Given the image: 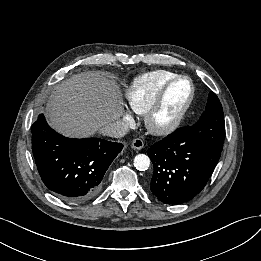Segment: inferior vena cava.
Masks as SVG:
<instances>
[{
	"label": "inferior vena cava",
	"instance_id": "inferior-vena-cava-1",
	"mask_svg": "<svg viewBox=\"0 0 261 261\" xmlns=\"http://www.w3.org/2000/svg\"><path fill=\"white\" fill-rule=\"evenodd\" d=\"M129 131L128 125L121 120L114 121L105 125L100 129V132L106 136L119 138L126 135Z\"/></svg>",
	"mask_w": 261,
	"mask_h": 261
}]
</instances>
